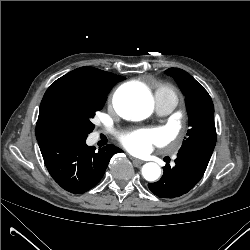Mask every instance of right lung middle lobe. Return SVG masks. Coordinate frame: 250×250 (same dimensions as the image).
I'll list each match as a JSON object with an SVG mask.
<instances>
[{
  "instance_id": "1",
  "label": "right lung middle lobe",
  "mask_w": 250,
  "mask_h": 250,
  "mask_svg": "<svg viewBox=\"0 0 250 250\" xmlns=\"http://www.w3.org/2000/svg\"><path fill=\"white\" fill-rule=\"evenodd\" d=\"M114 85L97 91L69 89L58 100V114L63 132L88 135L94 129L91 119L103 108L107 95Z\"/></svg>"
}]
</instances>
